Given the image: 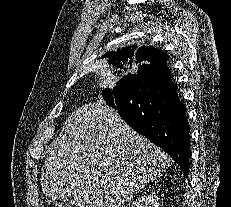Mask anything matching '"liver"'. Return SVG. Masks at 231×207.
I'll list each match as a JSON object with an SVG mask.
<instances>
[{
	"label": "liver",
	"instance_id": "6515ba94",
	"mask_svg": "<svg viewBox=\"0 0 231 207\" xmlns=\"http://www.w3.org/2000/svg\"><path fill=\"white\" fill-rule=\"evenodd\" d=\"M170 159L103 101L66 121L41 170L43 194L70 197L76 207H122L153 181Z\"/></svg>",
	"mask_w": 231,
	"mask_h": 207
}]
</instances>
